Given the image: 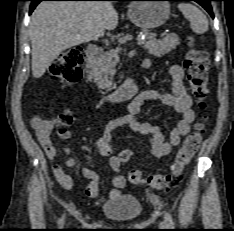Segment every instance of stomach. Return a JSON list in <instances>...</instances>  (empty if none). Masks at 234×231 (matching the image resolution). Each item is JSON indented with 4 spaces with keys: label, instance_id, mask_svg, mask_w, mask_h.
Masks as SVG:
<instances>
[{
    "label": "stomach",
    "instance_id": "stomach-1",
    "mask_svg": "<svg viewBox=\"0 0 234 231\" xmlns=\"http://www.w3.org/2000/svg\"><path fill=\"white\" fill-rule=\"evenodd\" d=\"M127 15L134 25L147 31L163 25L169 19L170 4L162 0L132 2Z\"/></svg>",
    "mask_w": 234,
    "mask_h": 231
}]
</instances>
